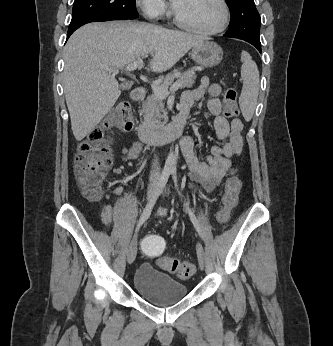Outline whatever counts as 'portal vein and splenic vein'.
Here are the masks:
<instances>
[{
	"label": "portal vein and splenic vein",
	"instance_id": "portal-vein-and-splenic-vein-1",
	"mask_svg": "<svg viewBox=\"0 0 333 346\" xmlns=\"http://www.w3.org/2000/svg\"><path fill=\"white\" fill-rule=\"evenodd\" d=\"M143 64V61L142 60H139V61H136L130 65H128L126 67V71H134L136 70L137 68L141 67ZM106 71L112 73V74H117L119 72V70L117 69H110V68H106L105 69ZM181 86V82L178 80L176 81L171 87L170 89L168 90V88L166 87H162L160 85H157V84H152L151 87H152V90L154 92V94L159 97V98H166L169 96V94L171 92H175L179 87Z\"/></svg>",
	"mask_w": 333,
	"mask_h": 346
}]
</instances>
